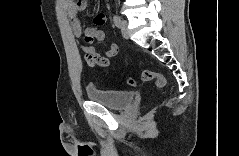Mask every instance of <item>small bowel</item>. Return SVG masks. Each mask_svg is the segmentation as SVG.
Wrapping results in <instances>:
<instances>
[{"label":"small bowel","mask_w":239,"mask_h":156,"mask_svg":"<svg viewBox=\"0 0 239 156\" xmlns=\"http://www.w3.org/2000/svg\"><path fill=\"white\" fill-rule=\"evenodd\" d=\"M63 5L67 12L74 37L80 38L83 33L85 44L81 45L80 49L84 54L86 63L98 67L109 66L110 59L118 54L117 44L110 42L108 48L102 53L98 52L95 47L92 46L94 41H103L105 39V32L100 28L105 24V16L103 14L97 15L94 19V24L82 30L78 15L86 10L88 5L87 1L65 0L63 1Z\"/></svg>","instance_id":"small-bowel-1"}]
</instances>
